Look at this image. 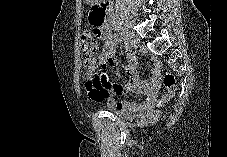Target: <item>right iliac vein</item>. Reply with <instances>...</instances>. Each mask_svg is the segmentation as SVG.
I'll use <instances>...</instances> for the list:
<instances>
[{"mask_svg":"<svg viewBox=\"0 0 227 157\" xmlns=\"http://www.w3.org/2000/svg\"><path fill=\"white\" fill-rule=\"evenodd\" d=\"M125 35V43L130 45L131 48H136L140 44V40L133 34L129 32H124Z\"/></svg>","mask_w":227,"mask_h":157,"instance_id":"1","label":"right iliac vein"}]
</instances>
